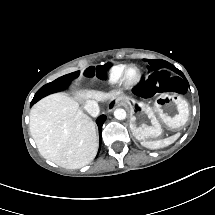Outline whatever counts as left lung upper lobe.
I'll return each mask as SVG.
<instances>
[{
  "instance_id": "1",
  "label": "left lung upper lobe",
  "mask_w": 215,
  "mask_h": 215,
  "mask_svg": "<svg viewBox=\"0 0 215 215\" xmlns=\"http://www.w3.org/2000/svg\"><path fill=\"white\" fill-rule=\"evenodd\" d=\"M149 63V69L150 71H157L164 68H170L174 70V68L166 61L164 60H147Z\"/></svg>"
}]
</instances>
